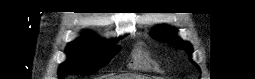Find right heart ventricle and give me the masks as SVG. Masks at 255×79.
<instances>
[{"mask_svg":"<svg viewBox=\"0 0 255 79\" xmlns=\"http://www.w3.org/2000/svg\"><path fill=\"white\" fill-rule=\"evenodd\" d=\"M132 67L135 69H145V70H154L159 71V65L150 58L149 54L137 48L133 54V63Z\"/></svg>","mask_w":255,"mask_h":79,"instance_id":"obj_1","label":"right heart ventricle"}]
</instances>
